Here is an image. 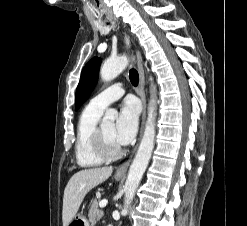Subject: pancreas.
<instances>
[{"instance_id": "obj_1", "label": "pancreas", "mask_w": 247, "mask_h": 226, "mask_svg": "<svg viewBox=\"0 0 247 226\" xmlns=\"http://www.w3.org/2000/svg\"><path fill=\"white\" fill-rule=\"evenodd\" d=\"M104 213L98 209V200L94 199L89 210V222L93 225L103 217Z\"/></svg>"}]
</instances>
